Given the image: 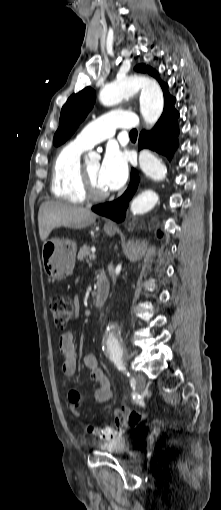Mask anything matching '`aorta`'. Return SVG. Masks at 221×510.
Wrapping results in <instances>:
<instances>
[{
	"mask_svg": "<svg viewBox=\"0 0 221 510\" xmlns=\"http://www.w3.org/2000/svg\"><path fill=\"white\" fill-rule=\"evenodd\" d=\"M139 90L142 117L148 125H154L163 112L164 99L159 85L148 77L132 75L117 79L101 89L100 101L105 106H114ZM89 156L94 157L95 154L90 153ZM139 164L143 173L155 181H161L166 176V166L150 151L140 153ZM158 201L159 197L153 190H145L135 197L130 210L133 214H143L152 210ZM102 343L107 350L120 346L118 329L113 323L107 325Z\"/></svg>",
	"mask_w": 221,
	"mask_h": 510,
	"instance_id": "762f6f07",
	"label": "aorta"
}]
</instances>
